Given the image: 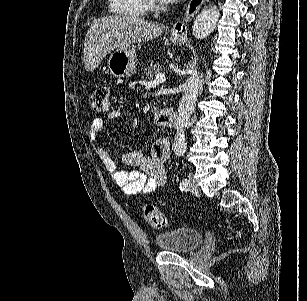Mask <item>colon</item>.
Listing matches in <instances>:
<instances>
[{
    "instance_id": "1",
    "label": "colon",
    "mask_w": 307,
    "mask_h": 301,
    "mask_svg": "<svg viewBox=\"0 0 307 301\" xmlns=\"http://www.w3.org/2000/svg\"><path fill=\"white\" fill-rule=\"evenodd\" d=\"M91 108L98 113L108 111L110 107L109 91L106 87L101 86L93 91L90 96ZM142 214L146 222L154 228H165L168 220L164 214L153 204H145L142 206Z\"/></svg>"
}]
</instances>
